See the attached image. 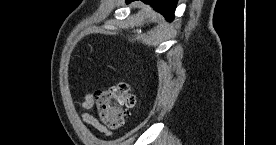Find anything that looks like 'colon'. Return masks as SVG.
Segmentation results:
<instances>
[{
    "mask_svg": "<svg viewBox=\"0 0 276 145\" xmlns=\"http://www.w3.org/2000/svg\"><path fill=\"white\" fill-rule=\"evenodd\" d=\"M95 110L107 127L120 128L136 103L135 95L126 83L101 87L93 93Z\"/></svg>",
    "mask_w": 276,
    "mask_h": 145,
    "instance_id": "1",
    "label": "colon"
}]
</instances>
